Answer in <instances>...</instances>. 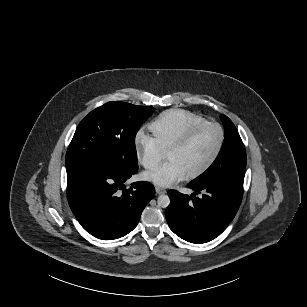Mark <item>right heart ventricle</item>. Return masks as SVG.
I'll use <instances>...</instances> for the list:
<instances>
[{"label": "right heart ventricle", "instance_id": "1", "mask_svg": "<svg viewBox=\"0 0 307 307\" xmlns=\"http://www.w3.org/2000/svg\"><path fill=\"white\" fill-rule=\"evenodd\" d=\"M205 123V120L193 112L182 109H170L162 112L151 123L153 139L162 151L189 131Z\"/></svg>", "mask_w": 307, "mask_h": 307}]
</instances>
